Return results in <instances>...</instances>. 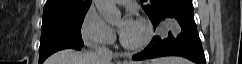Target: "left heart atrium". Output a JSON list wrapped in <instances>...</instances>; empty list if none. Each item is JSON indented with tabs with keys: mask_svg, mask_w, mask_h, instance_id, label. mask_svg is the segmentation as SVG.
<instances>
[{
	"mask_svg": "<svg viewBox=\"0 0 242 64\" xmlns=\"http://www.w3.org/2000/svg\"><path fill=\"white\" fill-rule=\"evenodd\" d=\"M136 26L137 21L131 15H126L119 28L120 35L125 38L135 29Z\"/></svg>",
	"mask_w": 242,
	"mask_h": 64,
	"instance_id": "39dd6f15",
	"label": "left heart atrium"
}]
</instances>
